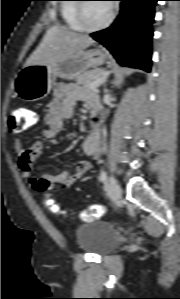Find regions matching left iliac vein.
<instances>
[{"label":"left iliac vein","mask_w":180,"mask_h":299,"mask_svg":"<svg viewBox=\"0 0 180 299\" xmlns=\"http://www.w3.org/2000/svg\"><path fill=\"white\" fill-rule=\"evenodd\" d=\"M108 188L112 200L118 202L121 198L122 192L119 184L113 177L109 179Z\"/></svg>","instance_id":"obj_1"}]
</instances>
